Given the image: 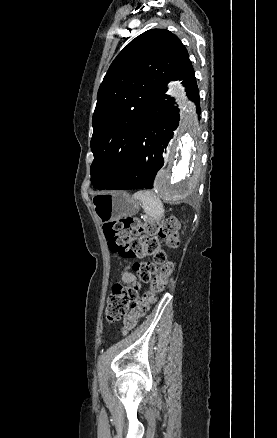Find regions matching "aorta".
Listing matches in <instances>:
<instances>
[{
  "label": "aorta",
  "mask_w": 277,
  "mask_h": 438,
  "mask_svg": "<svg viewBox=\"0 0 277 438\" xmlns=\"http://www.w3.org/2000/svg\"><path fill=\"white\" fill-rule=\"evenodd\" d=\"M178 94L184 96L180 86ZM198 136L196 116L192 107L186 105L180 129L169 146L167 166L154 183L156 192L169 202L189 197L198 186L201 172Z\"/></svg>",
  "instance_id": "1"
}]
</instances>
